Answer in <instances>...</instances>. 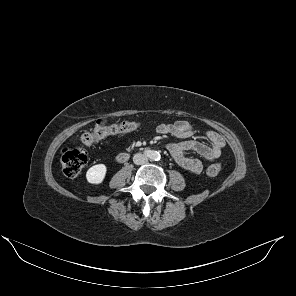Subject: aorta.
<instances>
[{
    "label": "aorta",
    "instance_id": "1",
    "mask_svg": "<svg viewBox=\"0 0 296 296\" xmlns=\"http://www.w3.org/2000/svg\"><path fill=\"white\" fill-rule=\"evenodd\" d=\"M150 159L157 161L160 159V154L157 151H152L150 154Z\"/></svg>",
    "mask_w": 296,
    "mask_h": 296
}]
</instances>
